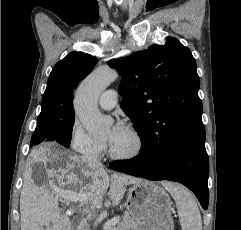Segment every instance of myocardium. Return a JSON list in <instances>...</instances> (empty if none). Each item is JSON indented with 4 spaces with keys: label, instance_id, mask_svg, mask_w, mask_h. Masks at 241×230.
<instances>
[{
    "label": "myocardium",
    "instance_id": "myocardium-1",
    "mask_svg": "<svg viewBox=\"0 0 241 230\" xmlns=\"http://www.w3.org/2000/svg\"><path fill=\"white\" fill-rule=\"evenodd\" d=\"M125 128L130 132V134L134 138V141H135L134 149L128 154L119 155V154H115L110 149V147L107 146V154L109 155V157L113 160L120 161V162L131 161L137 158L142 153L144 148V141L141 134L131 125H126Z\"/></svg>",
    "mask_w": 241,
    "mask_h": 230
}]
</instances>
